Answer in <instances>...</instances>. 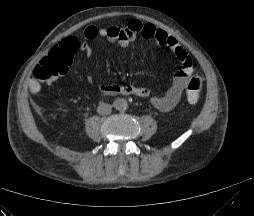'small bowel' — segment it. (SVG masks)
<instances>
[{"mask_svg": "<svg viewBox=\"0 0 254 216\" xmlns=\"http://www.w3.org/2000/svg\"><path fill=\"white\" fill-rule=\"evenodd\" d=\"M155 40L160 45L169 48L175 59L181 64V69L175 74L172 84L164 94H154L149 87H141L132 84H101L98 89L106 95H134L149 99L151 103L161 112L172 110L180 101L184 88L192 73V62L188 52L179 45L178 41L151 24H143L138 20H132L126 26L96 27L87 26L84 30L86 40L103 38L112 43H117L122 48H128L137 38ZM53 49L64 50L73 55L80 50L90 54L91 50L87 43H80L75 37H67L55 45ZM35 75L29 80V89L37 93L41 89Z\"/></svg>", "mask_w": 254, "mask_h": 216, "instance_id": "small-bowel-1", "label": "small bowel"}]
</instances>
